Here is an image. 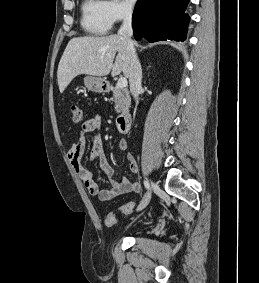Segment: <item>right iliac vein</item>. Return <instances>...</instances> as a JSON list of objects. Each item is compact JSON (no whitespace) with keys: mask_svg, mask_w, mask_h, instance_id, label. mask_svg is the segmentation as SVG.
I'll return each mask as SVG.
<instances>
[{"mask_svg":"<svg viewBox=\"0 0 259 283\" xmlns=\"http://www.w3.org/2000/svg\"><path fill=\"white\" fill-rule=\"evenodd\" d=\"M154 187H155V184L153 181H151V189H153ZM151 189L147 192V194L144 196V198L140 202L137 208V211L143 210L148 205L150 198H151Z\"/></svg>","mask_w":259,"mask_h":283,"instance_id":"1","label":"right iliac vein"}]
</instances>
